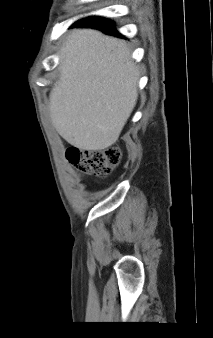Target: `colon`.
Returning <instances> with one entry per match:
<instances>
[{
    "label": "colon",
    "instance_id": "5ec220e1",
    "mask_svg": "<svg viewBox=\"0 0 213 338\" xmlns=\"http://www.w3.org/2000/svg\"><path fill=\"white\" fill-rule=\"evenodd\" d=\"M120 150L107 147L102 150H85L70 147L65 152L67 161L81 172L99 177L108 176L120 161Z\"/></svg>",
    "mask_w": 213,
    "mask_h": 338
}]
</instances>
